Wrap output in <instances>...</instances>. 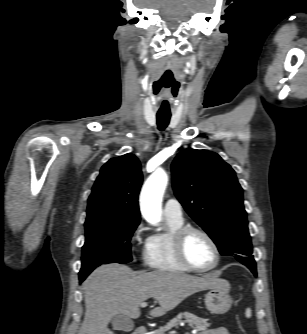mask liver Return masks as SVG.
<instances>
[{
    "label": "liver",
    "mask_w": 307,
    "mask_h": 334,
    "mask_svg": "<svg viewBox=\"0 0 307 334\" xmlns=\"http://www.w3.org/2000/svg\"><path fill=\"white\" fill-rule=\"evenodd\" d=\"M219 285L215 274L196 277L179 272L136 273L125 265H101L83 283L85 317L78 334H113L108 324L114 316L136 319L140 304L149 298L159 307L150 311L159 317L193 293Z\"/></svg>",
    "instance_id": "6515ba94"
}]
</instances>
